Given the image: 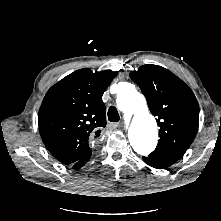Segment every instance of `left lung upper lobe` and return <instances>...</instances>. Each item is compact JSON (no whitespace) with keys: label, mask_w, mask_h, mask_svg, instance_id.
<instances>
[{"label":"left lung upper lobe","mask_w":221,"mask_h":221,"mask_svg":"<svg viewBox=\"0 0 221 221\" xmlns=\"http://www.w3.org/2000/svg\"><path fill=\"white\" fill-rule=\"evenodd\" d=\"M130 78L139 85L159 130L157 152L183 156L199 125V106L192 90L169 70L144 65Z\"/></svg>","instance_id":"left-lung-upper-lobe-1"}]
</instances>
